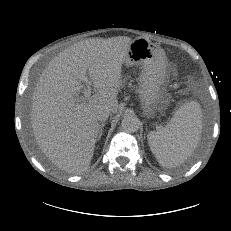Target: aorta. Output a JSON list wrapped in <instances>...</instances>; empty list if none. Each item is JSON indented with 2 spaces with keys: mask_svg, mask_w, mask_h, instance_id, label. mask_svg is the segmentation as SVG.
Segmentation results:
<instances>
[{
  "mask_svg": "<svg viewBox=\"0 0 231 231\" xmlns=\"http://www.w3.org/2000/svg\"><path fill=\"white\" fill-rule=\"evenodd\" d=\"M122 128L128 133H134L138 131L140 126V120L134 115H125L122 119Z\"/></svg>",
  "mask_w": 231,
  "mask_h": 231,
  "instance_id": "aorta-1",
  "label": "aorta"
}]
</instances>
